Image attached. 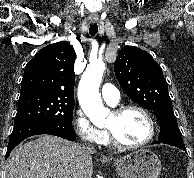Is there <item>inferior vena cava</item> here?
I'll return each mask as SVG.
<instances>
[{"instance_id":"1","label":"inferior vena cava","mask_w":194,"mask_h":178,"mask_svg":"<svg viewBox=\"0 0 194 178\" xmlns=\"http://www.w3.org/2000/svg\"><path fill=\"white\" fill-rule=\"evenodd\" d=\"M83 149L87 153H94L96 151L92 145H84Z\"/></svg>"}]
</instances>
